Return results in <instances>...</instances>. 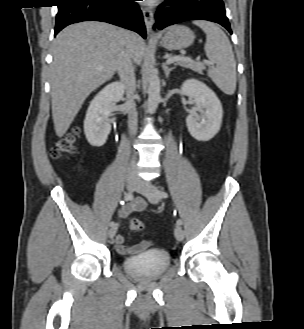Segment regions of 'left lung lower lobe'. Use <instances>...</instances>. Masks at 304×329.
I'll return each instance as SVG.
<instances>
[{
  "instance_id": "left-lung-lower-lobe-1",
  "label": "left lung lower lobe",
  "mask_w": 304,
  "mask_h": 329,
  "mask_svg": "<svg viewBox=\"0 0 304 329\" xmlns=\"http://www.w3.org/2000/svg\"><path fill=\"white\" fill-rule=\"evenodd\" d=\"M161 5L173 6L156 12L154 28L161 30L172 24L200 19L219 23L232 34L222 0H167Z\"/></svg>"
}]
</instances>
